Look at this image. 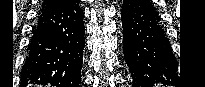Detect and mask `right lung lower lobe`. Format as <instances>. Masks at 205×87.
Wrapping results in <instances>:
<instances>
[{
    "instance_id": "right-lung-lower-lobe-1",
    "label": "right lung lower lobe",
    "mask_w": 205,
    "mask_h": 87,
    "mask_svg": "<svg viewBox=\"0 0 205 87\" xmlns=\"http://www.w3.org/2000/svg\"><path fill=\"white\" fill-rule=\"evenodd\" d=\"M80 0H66L43 10L21 70V87L30 83L79 87L85 46Z\"/></svg>"
}]
</instances>
